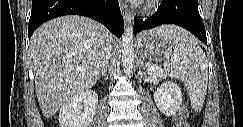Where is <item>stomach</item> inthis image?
I'll use <instances>...</instances> for the list:
<instances>
[{
	"label": "stomach",
	"instance_id": "1",
	"mask_svg": "<svg viewBox=\"0 0 243 127\" xmlns=\"http://www.w3.org/2000/svg\"><path fill=\"white\" fill-rule=\"evenodd\" d=\"M163 27L143 32L139 36L137 46L143 57L155 62H167L170 59L173 48L169 39L161 32Z\"/></svg>",
	"mask_w": 243,
	"mask_h": 127
}]
</instances>
